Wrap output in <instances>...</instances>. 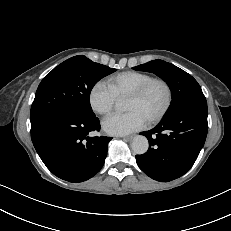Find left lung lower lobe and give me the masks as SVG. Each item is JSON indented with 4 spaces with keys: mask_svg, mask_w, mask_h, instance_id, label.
Instances as JSON below:
<instances>
[{
    "mask_svg": "<svg viewBox=\"0 0 231 231\" xmlns=\"http://www.w3.org/2000/svg\"><path fill=\"white\" fill-rule=\"evenodd\" d=\"M205 97L181 104L153 129L140 134L150 147L136 155L140 169L154 180L167 182L184 175L196 161L207 136Z\"/></svg>",
    "mask_w": 231,
    "mask_h": 231,
    "instance_id": "1",
    "label": "left lung lower lobe"
}]
</instances>
